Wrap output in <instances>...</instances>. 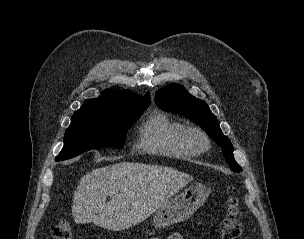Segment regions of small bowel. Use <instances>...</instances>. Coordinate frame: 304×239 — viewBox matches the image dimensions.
Here are the masks:
<instances>
[{
	"label": "small bowel",
	"mask_w": 304,
	"mask_h": 239,
	"mask_svg": "<svg viewBox=\"0 0 304 239\" xmlns=\"http://www.w3.org/2000/svg\"><path fill=\"white\" fill-rule=\"evenodd\" d=\"M168 239H185V238L181 233L176 232L171 234Z\"/></svg>",
	"instance_id": "1"
}]
</instances>
